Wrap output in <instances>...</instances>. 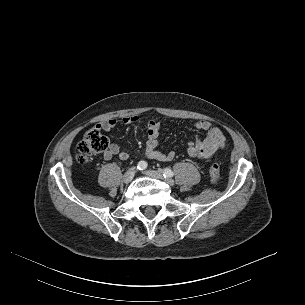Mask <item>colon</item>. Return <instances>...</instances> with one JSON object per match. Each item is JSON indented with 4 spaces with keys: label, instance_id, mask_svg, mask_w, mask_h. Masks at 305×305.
Wrapping results in <instances>:
<instances>
[{
    "label": "colon",
    "instance_id": "obj_1",
    "mask_svg": "<svg viewBox=\"0 0 305 305\" xmlns=\"http://www.w3.org/2000/svg\"><path fill=\"white\" fill-rule=\"evenodd\" d=\"M108 141L98 129L88 130L77 147V160L80 163L88 162L94 155L106 152ZM209 176L212 183H217L220 179V166L214 162L209 169Z\"/></svg>",
    "mask_w": 305,
    "mask_h": 305
}]
</instances>
